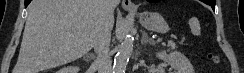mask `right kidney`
Returning <instances> with one entry per match:
<instances>
[{"label":"right kidney","mask_w":244,"mask_h":73,"mask_svg":"<svg viewBox=\"0 0 244 73\" xmlns=\"http://www.w3.org/2000/svg\"><path fill=\"white\" fill-rule=\"evenodd\" d=\"M79 67L76 66H68L60 69L57 73H78Z\"/></svg>","instance_id":"1"}]
</instances>
